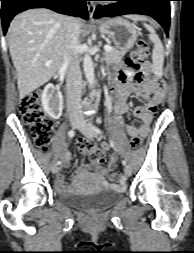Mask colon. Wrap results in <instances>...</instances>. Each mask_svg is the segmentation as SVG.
<instances>
[{"label": "colon", "instance_id": "1", "mask_svg": "<svg viewBox=\"0 0 194 253\" xmlns=\"http://www.w3.org/2000/svg\"><path fill=\"white\" fill-rule=\"evenodd\" d=\"M149 46L146 41H140L137 49L126 58L128 68L136 73H140L142 63L140 56H148ZM20 113L22 121L29 127L31 135L41 151H47L53 132V121L45 114L40 103V93L31 92L27 94L20 103ZM142 139L139 136L131 137L130 144L133 149H137L141 145ZM79 150L87 153L94 165H99L104 161V152L98 149L90 140H82L79 142ZM112 182L118 183L122 180L120 171H113L110 175Z\"/></svg>", "mask_w": 194, "mask_h": 253}]
</instances>
